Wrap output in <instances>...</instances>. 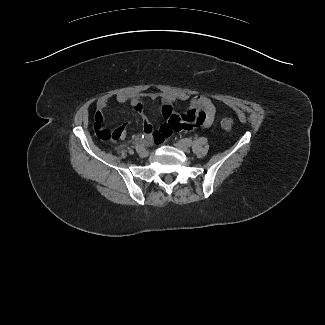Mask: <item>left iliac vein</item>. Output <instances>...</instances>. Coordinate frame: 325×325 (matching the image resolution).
I'll list each match as a JSON object with an SVG mask.
<instances>
[{
    "label": "left iliac vein",
    "mask_w": 325,
    "mask_h": 325,
    "mask_svg": "<svg viewBox=\"0 0 325 325\" xmlns=\"http://www.w3.org/2000/svg\"><path fill=\"white\" fill-rule=\"evenodd\" d=\"M177 148H179L180 150L184 151V152H189V148L188 146H186L185 144H183L182 142H177L174 144Z\"/></svg>",
    "instance_id": "1"
}]
</instances>
